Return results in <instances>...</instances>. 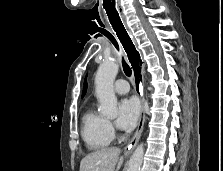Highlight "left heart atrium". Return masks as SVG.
<instances>
[{
  "label": "left heart atrium",
  "instance_id": "obj_1",
  "mask_svg": "<svg viewBox=\"0 0 223 171\" xmlns=\"http://www.w3.org/2000/svg\"><path fill=\"white\" fill-rule=\"evenodd\" d=\"M140 115V105L136 98H124L118 107L116 124L122 130H131L136 125Z\"/></svg>",
  "mask_w": 223,
  "mask_h": 171
}]
</instances>
